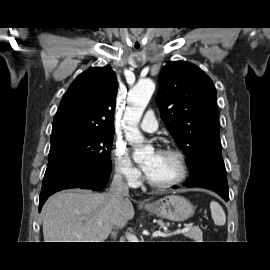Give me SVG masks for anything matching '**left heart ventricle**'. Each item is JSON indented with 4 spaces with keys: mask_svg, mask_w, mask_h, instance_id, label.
I'll use <instances>...</instances> for the list:
<instances>
[{
    "mask_svg": "<svg viewBox=\"0 0 270 270\" xmlns=\"http://www.w3.org/2000/svg\"><path fill=\"white\" fill-rule=\"evenodd\" d=\"M154 154H150L146 161L152 159ZM179 164L177 159L165 153H159L154 162L153 168L148 177L156 183H165L175 179L179 175Z\"/></svg>",
    "mask_w": 270,
    "mask_h": 270,
    "instance_id": "1",
    "label": "left heart ventricle"
}]
</instances>
